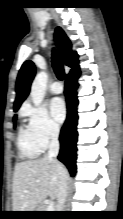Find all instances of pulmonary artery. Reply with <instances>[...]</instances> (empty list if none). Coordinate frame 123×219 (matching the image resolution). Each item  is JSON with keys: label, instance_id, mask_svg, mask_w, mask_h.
<instances>
[{"label": "pulmonary artery", "instance_id": "pulmonary-artery-1", "mask_svg": "<svg viewBox=\"0 0 123 219\" xmlns=\"http://www.w3.org/2000/svg\"><path fill=\"white\" fill-rule=\"evenodd\" d=\"M50 91L53 94H60L63 91V87H62V85L59 82H53L50 85Z\"/></svg>", "mask_w": 123, "mask_h": 219}]
</instances>
